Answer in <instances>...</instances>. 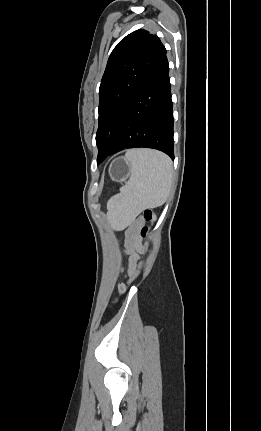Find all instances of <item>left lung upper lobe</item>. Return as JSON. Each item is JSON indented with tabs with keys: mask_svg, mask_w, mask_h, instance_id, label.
Here are the masks:
<instances>
[{
	"mask_svg": "<svg viewBox=\"0 0 261 431\" xmlns=\"http://www.w3.org/2000/svg\"><path fill=\"white\" fill-rule=\"evenodd\" d=\"M165 54L160 39L142 29L124 37L112 51L99 88L97 164L109 155L133 98Z\"/></svg>",
	"mask_w": 261,
	"mask_h": 431,
	"instance_id": "1",
	"label": "left lung upper lobe"
}]
</instances>
